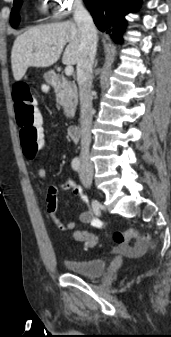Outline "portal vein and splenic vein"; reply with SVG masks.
<instances>
[{
	"label": "portal vein and splenic vein",
	"mask_w": 171,
	"mask_h": 337,
	"mask_svg": "<svg viewBox=\"0 0 171 337\" xmlns=\"http://www.w3.org/2000/svg\"><path fill=\"white\" fill-rule=\"evenodd\" d=\"M73 66H71V65H68V66H66V68H65V74L67 75V76H70V75H72V73H73Z\"/></svg>",
	"instance_id": "18ae733b"
}]
</instances>
